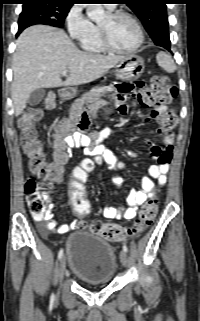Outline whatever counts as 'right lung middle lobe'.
Returning <instances> with one entry per match:
<instances>
[{
    "label": "right lung middle lobe",
    "instance_id": "1",
    "mask_svg": "<svg viewBox=\"0 0 200 321\" xmlns=\"http://www.w3.org/2000/svg\"><path fill=\"white\" fill-rule=\"evenodd\" d=\"M70 8L71 6L61 5L55 1L24 2L18 21V34L35 24L62 28Z\"/></svg>",
    "mask_w": 200,
    "mask_h": 321
}]
</instances>
